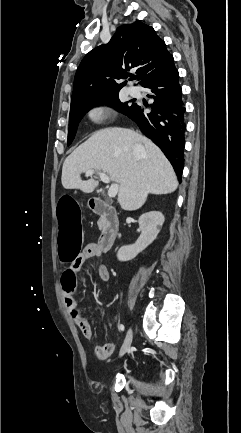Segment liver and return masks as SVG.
Returning <instances> with one entry per match:
<instances>
[{"label":"liver","mask_w":241,"mask_h":433,"mask_svg":"<svg viewBox=\"0 0 241 433\" xmlns=\"http://www.w3.org/2000/svg\"><path fill=\"white\" fill-rule=\"evenodd\" d=\"M140 144L142 148L135 150ZM94 169L117 182L118 202L123 210L139 209L148 194H169L178 187L176 174L162 151L148 138L125 128L94 133L64 161L62 186L92 193L99 182L83 181L81 173Z\"/></svg>","instance_id":"obj_1"}]
</instances>
